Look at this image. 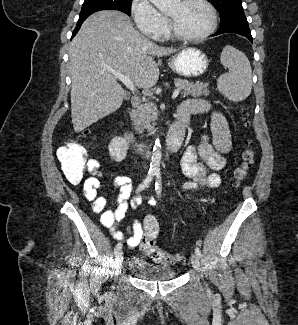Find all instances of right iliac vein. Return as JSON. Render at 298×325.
<instances>
[{
    "label": "right iliac vein",
    "instance_id": "1",
    "mask_svg": "<svg viewBox=\"0 0 298 325\" xmlns=\"http://www.w3.org/2000/svg\"><path fill=\"white\" fill-rule=\"evenodd\" d=\"M123 265V251H119L115 259V274L116 276L121 272Z\"/></svg>",
    "mask_w": 298,
    "mask_h": 325
}]
</instances>
